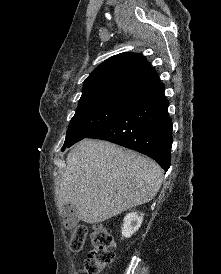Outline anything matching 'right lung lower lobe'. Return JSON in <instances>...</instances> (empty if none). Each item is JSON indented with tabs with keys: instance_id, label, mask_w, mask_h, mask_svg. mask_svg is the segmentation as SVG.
<instances>
[{
	"instance_id": "98d812e1",
	"label": "right lung lower lobe",
	"mask_w": 221,
	"mask_h": 274,
	"mask_svg": "<svg viewBox=\"0 0 221 274\" xmlns=\"http://www.w3.org/2000/svg\"><path fill=\"white\" fill-rule=\"evenodd\" d=\"M168 105L164 86L159 83L88 138L107 140L143 153L167 171L173 141Z\"/></svg>"
}]
</instances>
